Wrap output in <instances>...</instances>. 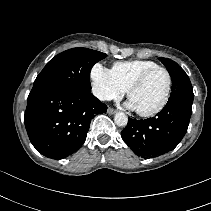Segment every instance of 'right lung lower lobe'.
Here are the masks:
<instances>
[{"label": "right lung lower lobe", "instance_id": "98d812e1", "mask_svg": "<svg viewBox=\"0 0 211 211\" xmlns=\"http://www.w3.org/2000/svg\"><path fill=\"white\" fill-rule=\"evenodd\" d=\"M106 110L107 106L91 93L41 87L32 89L28 96L24 122L40 154L62 159L82 146L91 119Z\"/></svg>", "mask_w": 211, "mask_h": 211}]
</instances>
